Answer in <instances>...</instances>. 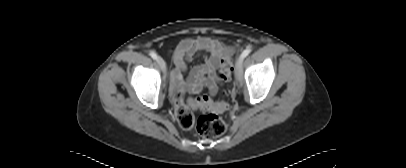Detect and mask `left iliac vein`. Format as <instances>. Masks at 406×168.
Returning a JSON list of instances; mask_svg holds the SVG:
<instances>
[{
	"instance_id": "4c4485c4",
	"label": "left iliac vein",
	"mask_w": 406,
	"mask_h": 168,
	"mask_svg": "<svg viewBox=\"0 0 406 168\" xmlns=\"http://www.w3.org/2000/svg\"><path fill=\"white\" fill-rule=\"evenodd\" d=\"M242 62L243 59L240 57L237 62H236V67H235V77L237 81L241 82L242 81Z\"/></svg>"
}]
</instances>
